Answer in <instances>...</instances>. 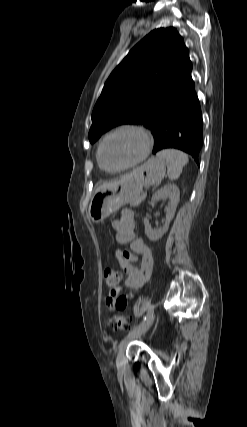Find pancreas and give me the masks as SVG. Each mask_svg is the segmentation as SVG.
Returning a JSON list of instances; mask_svg holds the SVG:
<instances>
[{
    "mask_svg": "<svg viewBox=\"0 0 247 427\" xmlns=\"http://www.w3.org/2000/svg\"><path fill=\"white\" fill-rule=\"evenodd\" d=\"M145 196V193L141 194L131 202V205L138 206L145 199Z\"/></svg>",
    "mask_w": 247,
    "mask_h": 427,
    "instance_id": "pancreas-1",
    "label": "pancreas"
}]
</instances>
